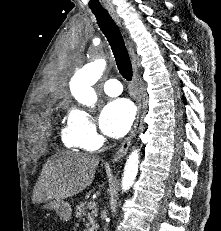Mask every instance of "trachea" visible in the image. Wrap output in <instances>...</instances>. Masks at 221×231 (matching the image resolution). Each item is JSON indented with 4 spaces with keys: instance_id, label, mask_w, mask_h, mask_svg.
<instances>
[{
    "instance_id": "3493384b",
    "label": "trachea",
    "mask_w": 221,
    "mask_h": 231,
    "mask_svg": "<svg viewBox=\"0 0 221 231\" xmlns=\"http://www.w3.org/2000/svg\"><path fill=\"white\" fill-rule=\"evenodd\" d=\"M92 12L111 46L119 73L126 80H132V64L118 26L106 10H93Z\"/></svg>"
}]
</instances>
